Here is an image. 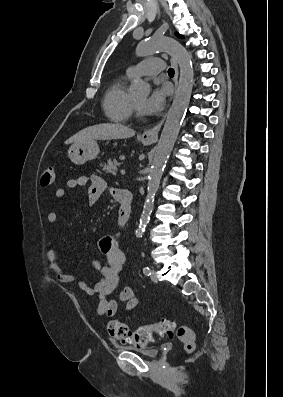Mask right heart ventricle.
Returning a JSON list of instances; mask_svg holds the SVG:
<instances>
[{
    "mask_svg": "<svg viewBox=\"0 0 283 397\" xmlns=\"http://www.w3.org/2000/svg\"><path fill=\"white\" fill-rule=\"evenodd\" d=\"M127 76L116 78L106 89L103 110L112 122L124 123L131 114V98L126 90Z\"/></svg>",
    "mask_w": 283,
    "mask_h": 397,
    "instance_id": "e07e8e85",
    "label": "right heart ventricle"
}]
</instances>
